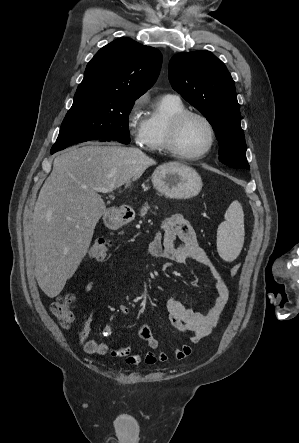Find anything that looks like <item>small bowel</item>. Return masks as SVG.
Here are the masks:
<instances>
[{
	"label": "small bowel",
	"mask_w": 299,
	"mask_h": 443,
	"mask_svg": "<svg viewBox=\"0 0 299 443\" xmlns=\"http://www.w3.org/2000/svg\"><path fill=\"white\" fill-rule=\"evenodd\" d=\"M177 239L180 241L177 242ZM147 255L151 258H164L175 263L195 262L204 266L214 283L216 296L213 304L203 313L186 308L177 298H170L167 302L169 322L173 329L188 335L189 343L174 350V357L178 360L188 357L192 353V345L211 333L221 319L229 301V289L223 277L213 265L209 256L200 245L199 239L187 219L176 214L163 220L159 231L147 246ZM94 281L91 279L85 287L90 292ZM118 311L126 316L129 308L120 305ZM90 314H86L85 324L78 333V341L82 350L87 354L106 355L115 358H124L126 363L137 365L141 362L154 364L167 360V354L158 351L159 341L153 336L148 325L143 324L139 329V336L147 343L150 351L135 353L130 347H118L114 341L97 342L89 339ZM116 331L113 325H106L102 330L105 337H111Z\"/></svg>",
	"instance_id": "c3829d8e"
}]
</instances>
